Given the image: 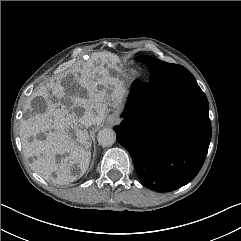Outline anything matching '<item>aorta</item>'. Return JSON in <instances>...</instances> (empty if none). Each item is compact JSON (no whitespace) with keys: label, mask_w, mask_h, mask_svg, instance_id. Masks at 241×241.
Instances as JSON below:
<instances>
[{"label":"aorta","mask_w":241,"mask_h":241,"mask_svg":"<svg viewBox=\"0 0 241 241\" xmlns=\"http://www.w3.org/2000/svg\"><path fill=\"white\" fill-rule=\"evenodd\" d=\"M98 143L103 147H109L116 141V133L111 128H104L98 132Z\"/></svg>","instance_id":"obj_1"}]
</instances>
